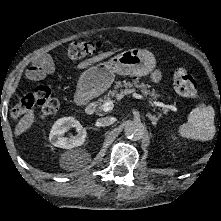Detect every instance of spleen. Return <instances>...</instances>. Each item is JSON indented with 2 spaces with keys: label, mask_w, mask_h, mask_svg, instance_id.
<instances>
[{
  "label": "spleen",
  "mask_w": 221,
  "mask_h": 221,
  "mask_svg": "<svg viewBox=\"0 0 221 221\" xmlns=\"http://www.w3.org/2000/svg\"><path fill=\"white\" fill-rule=\"evenodd\" d=\"M215 112L212 106H204L193 109L188 115L187 123L178 128L181 137L193 140H211L216 132L214 126Z\"/></svg>",
  "instance_id": "obj_1"
}]
</instances>
